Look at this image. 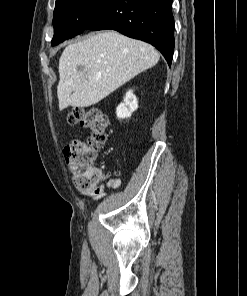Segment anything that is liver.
Wrapping results in <instances>:
<instances>
[{"label": "liver", "instance_id": "liver-1", "mask_svg": "<svg viewBox=\"0 0 247 296\" xmlns=\"http://www.w3.org/2000/svg\"><path fill=\"white\" fill-rule=\"evenodd\" d=\"M159 59L152 45L116 31L69 44L59 59V109L94 105Z\"/></svg>", "mask_w": 247, "mask_h": 296}]
</instances>
